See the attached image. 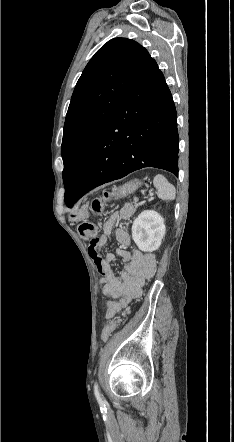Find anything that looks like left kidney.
Wrapping results in <instances>:
<instances>
[{
    "label": "left kidney",
    "instance_id": "left-kidney-1",
    "mask_svg": "<svg viewBox=\"0 0 234 442\" xmlns=\"http://www.w3.org/2000/svg\"><path fill=\"white\" fill-rule=\"evenodd\" d=\"M166 227L163 217L153 211L145 210L134 220L132 238L144 252L156 251L165 236Z\"/></svg>",
    "mask_w": 234,
    "mask_h": 442
}]
</instances>
